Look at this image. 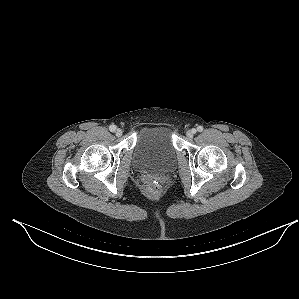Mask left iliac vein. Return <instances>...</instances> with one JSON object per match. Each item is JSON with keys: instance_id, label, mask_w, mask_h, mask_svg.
<instances>
[{"instance_id": "4c4485c4", "label": "left iliac vein", "mask_w": 299, "mask_h": 299, "mask_svg": "<svg viewBox=\"0 0 299 299\" xmlns=\"http://www.w3.org/2000/svg\"><path fill=\"white\" fill-rule=\"evenodd\" d=\"M196 133V129H191V130H188L186 135L188 138H193L194 134Z\"/></svg>"}]
</instances>
